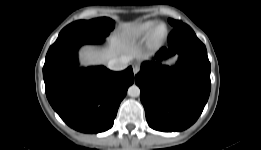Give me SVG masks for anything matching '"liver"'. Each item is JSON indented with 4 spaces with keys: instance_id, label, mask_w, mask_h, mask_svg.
<instances>
[{
    "instance_id": "obj_1",
    "label": "liver",
    "mask_w": 261,
    "mask_h": 150,
    "mask_svg": "<svg viewBox=\"0 0 261 150\" xmlns=\"http://www.w3.org/2000/svg\"><path fill=\"white\" fill-rule=\"evenodd\" d=\"M123 28L129 30L131 24H124ZM109 43V48L104 50H99L90 46L83 47L80 51L82 64L85 66L98 65L121 56H128L132 59L138 54L137 49L133 47L125 33L120 36L112 35L109 38Z\"/></svg>"
}]
</instances>
